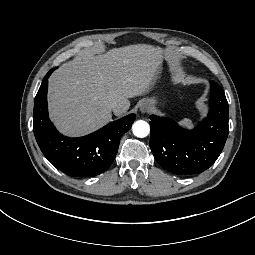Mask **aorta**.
<instances>
[{"label":"aorta","instance_id":"1","mask_svg":"<svg viewBox=\"0 0 255 255\" xmlns=\"http://www.w3.org/2000/svg\"><path fill=\"white\" fill-rule=\"evenodd\" d=\"M133 134L139 138L146 137L150 132L149 124L143 120L136 121L132 126Z\"/></svg>","mask_w":255,"mask_h":255}]
</instances>
